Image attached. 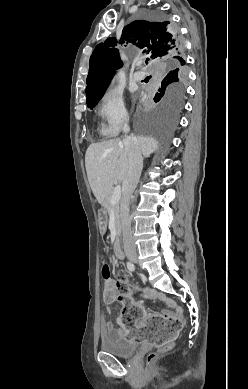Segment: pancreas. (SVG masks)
<instances>
[{"label": "pancreas", "instance_id": "cf45deb5", "mask_svg": "<svg viewBox=\"0 0 248 389\" xmlns=\"http://www.w3.org/2000/svg\"><path fill=\"white\" fill-rule=\"evenodd\" d=\"M114 191V187H112L109 191L108 196L105 198L103 204H102V211L104 215L107 217V214L110 213V211L113 209L114 214H115V226L117 230V235H120L121 232V224H120V218H119V202L112 204L111 203V197Z\"/></svg>", "mask_w": 248, "mask_h": 389}]
</instances>
